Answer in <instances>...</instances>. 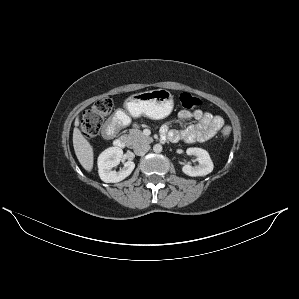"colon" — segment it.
I'll use <instances>...</instances> for the list:
<instances>
[{
    "mask_svg": "<svg viewBox=\"0 0 299 299\" xmlns=\"http://www.w3.org/2000/svg\"><path fill=\"white\" fill-rule=\"evenodd\" d=\"M179 103L185 109H192L198 107L201 101L190 93L184 92L179 96ZM112 109V97L105 96L97 100L88 110H86L81 121V131L84 137L91 139L97 136L103 121L110 115ZM221 134L224 137H228L231 134L230 126H223Z\"/></svg>",
    "mask_w": 299,
    "mask_h": 299,
    "instance_id": "5ec220e1",
    "label": "colon"
}]
</instances>
